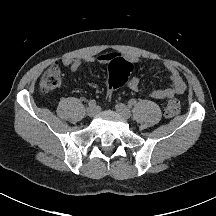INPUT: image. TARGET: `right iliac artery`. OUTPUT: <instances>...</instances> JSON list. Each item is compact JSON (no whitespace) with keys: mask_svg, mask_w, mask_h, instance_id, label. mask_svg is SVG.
I'll use <instances>...</instances> for the list:
<instances>
[{"mask_svg":"<svg viewBox=\"0 0 216 216\" xmlns=\"http://www.w3.org/2000/svg\"><path fill=\"white\" fill-rule=\"evenodd\" d=\"M95 105H96L95 100H90V101H89V106H95Z\"/></svg>","mask_w":216,"mask_h":216,"instance_id":"obj_1","label":"right iliac artery"}]
</instances>
